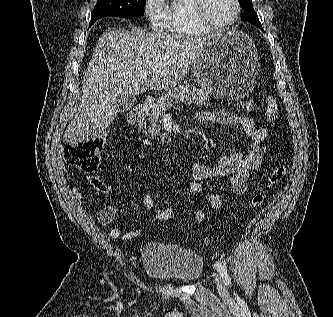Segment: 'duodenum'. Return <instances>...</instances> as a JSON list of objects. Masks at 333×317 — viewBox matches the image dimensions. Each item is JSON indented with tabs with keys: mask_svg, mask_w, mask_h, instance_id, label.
Returning <instances> with one entry per match:
<instances>
[{
	"mask_svg": "<svg viewBox=\"0 0 333 317\" xmlns=\"http://www.w3.org/2000/svg\"><path fill=\"white\" fill-rule=\"evenodd\" d=\"M154 99L152 97H146L137 107H135L128 116V122L131 125H136L142 121L144 113L150 107H152Z\"/></svg>",
	"mask_w": 333,
	"mask_h": 317,
	"instance_id": "410a0bca",
	"label": "duodenum"
}]
</instances>
